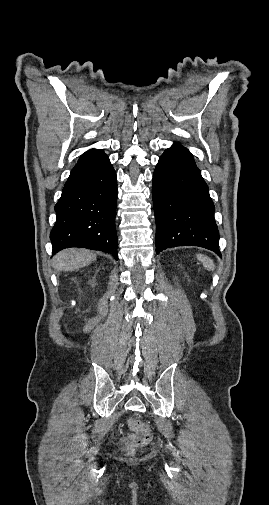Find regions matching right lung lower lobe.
<instances>
[{
	"label": "right lung lower lobe",
	"instance_id": "obj_1",
	"mask_svg": "<svg viewBox=\"0 0 269 505\" xmlns=\"http://www.w3.org/2000/svg\"><path fill=\"white\" fill-rule=\"evenodd\" d=\"M116 204L117 179L108 156L98 149L85 152L55 205L56 223L50 233L53 253L83 247L107 252L117 260Z\"/></svg>",
	"mask_w": 269,
	"mask_h": 505
}]
</instances>
